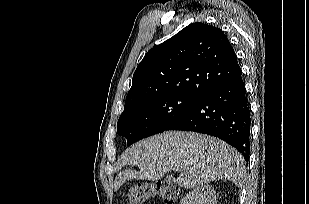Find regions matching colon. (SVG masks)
<instances>
[{"instance_id":"1","label":"colon","mask_w":309,"mask_h":204,"mask_svg":"<svg viewBox=\"0 0 309 204\" xmlns=\"http://www.w3.org/2000/svg\"><path fill=\"white\" fill-rule=\"evenodd\" d=\"M179 195V189L162 181L144 182L128 189V204H142L153 197H160L166 204H173Z\"/></svg>"}]
</instances>
